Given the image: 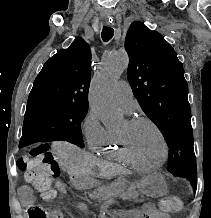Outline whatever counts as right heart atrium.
<instances>
[{"instance_id":"d8ad5b80","label":"right heart atrium","mask_w":211,"mask_h":218,"mask_svg":"<svg viewBox=\"0 0 211 218\" xmlns=\"http://www.w3.org/2000/svg\"><path fill=\"white\" fill-rule=\"evenodd\" d=\"M81 131L90 148L95 149L105 138L107 130L98 115L89 109L82 119Z\"/></svg>"}]
</instances>
